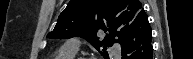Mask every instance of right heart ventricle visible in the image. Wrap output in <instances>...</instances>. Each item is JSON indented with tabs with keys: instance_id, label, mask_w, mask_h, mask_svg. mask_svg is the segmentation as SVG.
<instances>
[{
	"instance_id": "right-heart-ventricle-1",
	"label": "right heart ventricle",
	"mask_w": 193,
	"mask_h": 59,
	"mask_svg": "<svg viewBox=\"0 0 193 59\" xmlns=\"http://www.w3.org/2000/svg\"><path fill=\"white\" fill-rule=\"evenodd\" d=\"M75 52L70 50H66L63 47L56 53L53 59H73L75 56Z\"/></svg>"
}]
</instances>
